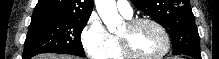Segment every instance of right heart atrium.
<instances>
[{"instance_id": "1", "label": "right heart atrium", "mask_w": 219, "mask_h": 59, "mask_svg": "<svg viewBox=\"0 0 219 59\" xmlns=\"http://www.w3.org/2000/svg\"><path fill=\"white\" fill-rule=\"evenodd\" d=\"M81 43L89 58L105 59L109 57L115 45V37L99 17L92 15L82 30Z\"/></svg>"}]
</instances>
